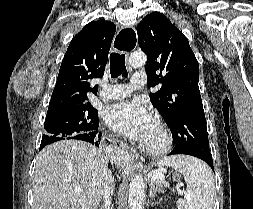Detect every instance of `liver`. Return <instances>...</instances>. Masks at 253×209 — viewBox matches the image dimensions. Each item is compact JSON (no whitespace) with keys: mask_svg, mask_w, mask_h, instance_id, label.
<instances>
[{"mask_svg":"<svg viewBox=\"0 0 253 209\" xmlns=\"http://www.w3.org/2000/svg\"><path fill=\"white\" fill-rule=\"evenodd\" d=\"M107 171V156L87 142L63 140L45 147L33 177L34 209H98Z\"/></svg>","mask_w":253,"mask_h":209,"instance_id":"1","label":"liver"}]
</instances>
